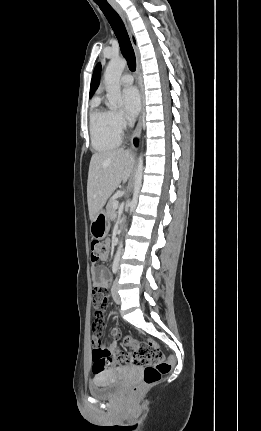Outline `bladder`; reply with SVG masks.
Masks as SVG:
<instances>
[{"mask_svg": "<svg viewBox=\"0 0 261 431\" xmlns=\"http://www.w3.org/2000/svg\"><path fill=\"white\" fill-rule=\"evenodd\" d=\"M124 375L116 371H107L97 374L89 383V393L98 399L116 397L122 390Z\"/></svg>", "mask_w": 261, "mask_h": 431, "instance_id": "31cf9c89", "label": "bladder"}]
</instances>
